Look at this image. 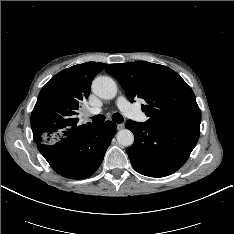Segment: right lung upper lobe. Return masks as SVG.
Returning <instances> with one entry per match:
<instances>
[{
    "label": "right lung upper lobe",
    "instance_id": "right-lung-upper-lobe-1",
    "mask_svg": "<svg viewBox=\"0 0 234 234\" xmlns=\"http://www.w3.org/2000/svg\"><path fill=\"white\" fill-rule=\"evenodd\" d=\"M106 65L78 64L59 72L43 86L31 114L36 144L53 143L92 124H78V109L90 94L92 80Z\"/></svg>",
    "mask_w": 234,
    "mask_h": 234
}]
</instances>
